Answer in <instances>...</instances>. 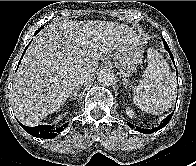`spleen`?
<instances>
[{
    "instance_id": "spleen-1",
    "label": "spleen",
    "mask_w": 196,
    "mask_h": 166,
    "mask_svg": "<svg viewBox=\"0 0 196 166\" xmlns=\"http://www.w3.org/2000/svg\"><path fill=\"white\" fill-rule=\"evenodd\" d=\"M148 67L133 94L142 111L159 114L171 108L176 98V82L168 63L153 48L147 51Z\"/></svg>"
}]
</instances>
